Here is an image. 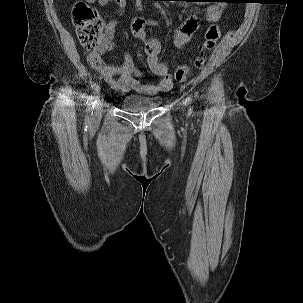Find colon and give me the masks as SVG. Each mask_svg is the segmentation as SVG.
Instances as JSON below:
<instances>
[{
    "mask_svg": "<svg viewBox=\"0 0 303 303\" xmlns=\"http://www.w3.org/2000/svg\"><path fill=\"white\" fill-rule=\"evenodd\" d=\"M73 23L77 30V36L86 49L96 48L101 41L104 25L98 13L88 4L78 2L72 10ZM221 36V31L217 25H211L205 34V40L201 45L202 52L196 59L195 65L197 68H202L207 54L212 51L217 45ZM190 73L187 65H181L175 72V79L179 82L186 80Z\"/></svg>",
    "mask_w": 303,
    "mask_h": 303,
    "instance_id": "colon-1",
    "label": "colon"
}]
</instances>
